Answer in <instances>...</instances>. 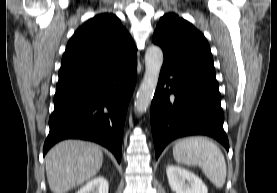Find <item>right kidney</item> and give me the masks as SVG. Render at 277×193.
Instances as JSON below:
<instances>
[{
    "instance_id": "ca27d5eb",
    "label": "right kidney",
    "mask_w": 277,
    "mask_h": 193,
    "mask_svg": "<svg viewBox=\"0 0 277 193\" xmlns=\"http://www.w3.org/2000/svg\"><path fill=\"white\" fill-rule=\"evenodd\" d=\"M108 190V181L104 177L99 176L87 182V184L76 193H108Z\"/></svg>"
}]
</instances>
